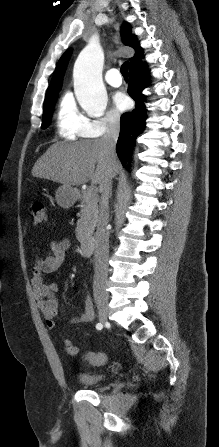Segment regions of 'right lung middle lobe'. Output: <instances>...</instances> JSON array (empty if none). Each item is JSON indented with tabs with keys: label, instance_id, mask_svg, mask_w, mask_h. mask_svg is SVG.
Listing matches in <instances>:
<instances>
[{
	"label": "right lung middle lobe",
	"instance_id": "right-lung-middle-lobe-1",
	"mask_svg": "<svg viewBox=\"0 0 219 447\" xmlns=\"http://www.w3.org/2000/svg\"><path fill=\"white\" fill-rule=\"evenodd\" d=\"M58 94L52 95L45 99L43 105L42 128H46L51 120L53 108Z\"/></svg>",
	"mask_w": 219,
	"mask_h": 447
}]
</instances>
